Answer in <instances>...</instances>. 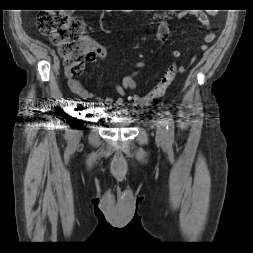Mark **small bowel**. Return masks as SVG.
I'll return each mask as SVG.
<instances>
[{
    "label": "small bowel",
    "mask_w": 253,
    "mask_h": 253,
    "mask_svg": "<svg viewBox=\"0 0 253 253\" xmlns=\"http://www.w3.org/2000/svg\"><path fill=\"white\" fill-rule=\"evenodd\" d=\"M188 16L195 17L198 25L204 30V40L206 43H210L214 40L215 34L210 28V20L209 16L206 13L203 12H195V13H188V12H181L178 14L179 19L186 18ZM157 40H158V50H161L166 45L168 39H169V26L168 23L165 20H160L157 23ZM92 47L95 53V57L102 60V61H108V56L106 50L96 44L92 43ZM201 50L205 51L208 49L207 44H202L200 46ZM175 55H178V52L174 53ZM196 57L194 56L191 60V62H194ZM146 66L145 61H137L133 65V71L126 75L121 84H115L116 92L118 93V97H107V98H101L98 94L94 92H90L86 89V87L77 80L71 72L66 68L65 74L68 79V85L73 93L78 95L79 97L83 99H93L96 100L100 104L105 105H114L117 107H121L123 105L124 97L126 96V92L128 90H134L136 88V77L140 74V71L142 68Z\"/></svg>",
    "instance_id": "small-bowel-1"
}]
</instances>
